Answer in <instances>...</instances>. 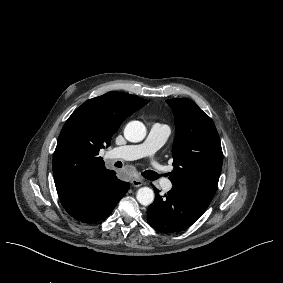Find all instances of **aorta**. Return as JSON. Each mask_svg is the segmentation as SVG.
<instances>
[{"mask_svg": "<svg viewBox=\"0 0 283 283\" xmlns=\"http://www.w3.org/2000/svg\"><path fill=\"white\" fill-rule=\"evenodd\" d=\"M124 136L129 142H140L146 136V127L140 121L129 122L124 129ZM136 198L142 205H150L154 201V192L149 187H142L137 191Z\"/></svg>", "mask_w": 283, "mask_h": 283, "instance_id": "762f6f07", "label": "aorta"}]
</instances>
